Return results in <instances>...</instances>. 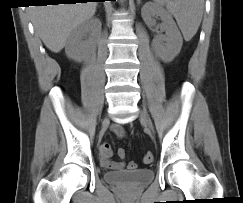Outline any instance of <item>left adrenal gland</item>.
<instances>
[{"mask_svg":"<svg viewBox=\"0 0 243 203\" xmlns=\"http://www.w3.org/2000/svg\"><path fill=\"white\" fill-rule=\"evenodd\" d=\"M137 4H138V5L140 4V0H137Z\"/></svg>","mask_w":243,"mask_h":203,"instance_id":"1","label":"left adrenal gland"}]
</instances>
